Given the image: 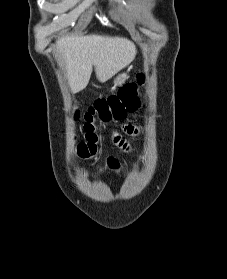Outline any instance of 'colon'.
Instances as JSON below:
<instances>
[{
	"label": "colon",
	"instance_id": "colon-1",
	"mask_svg": "<svg viewBox=\"0 0 227 279\" xmlns=\"http://www.w3.org/2000/svg\"><path fill=\"white\" fill-rule=\"evenodd\" d=\"M140 75V80L143 78ZM133 87L125 89L123 98L111 96L108 99H98L90 105L84 114L83 132L85 141L80 144L79 154L82 157H90L97 154L100 144L98 124L111 120L122 121L128 115L135 112L138 107L137 101L132 96Z\"/></svg>",
	"mask_w": 227,
	"mask_h": 279
}]
</instances>
